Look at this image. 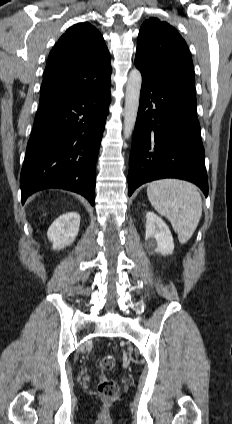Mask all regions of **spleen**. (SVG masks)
I'll list each match as a JSON object with an SVG mask.
<instances>
[{
	"instance_id": "3e777b00",
	"label": "spleen",
	"mask_w": 232,
	"mask_h": 424,
	"mask_svg": "<svg viewBox=\"0 0 232 424\" xmlns=\"http://www.w3.org/2000/svg\"><path fill=\"white\" fill-rule=\"evenodd\" d=\"M147 196L154 209L170 222L185 244L193 235L202 215V198L197 187L179 179L151 182Z\"/></svg>"
}]
</instances>
